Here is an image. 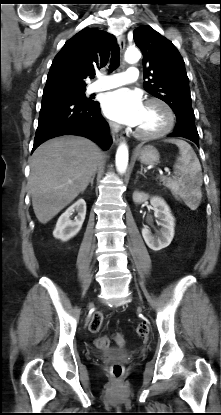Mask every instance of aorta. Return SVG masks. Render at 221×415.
<instances>
[{"instance_id":"obj_1","label":"aorta","mask_w":221,"mask_h":415,"mask_svg":"<svg viewBox=\"0 0 221 415\" xmlns=\"http://www.w3.org/2000/svg\"><path fill=\"white\" fill-rule=\"evenodd\" d=\"M141 57V53L138 49H127L125 52L126 62L133 64L136 63ZM128 166V147L125 143L119 145L116 152V167L119 173L126 172Z\"/></svg>"}]
</instances>
